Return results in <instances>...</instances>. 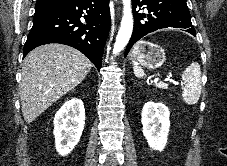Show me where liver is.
<instances>
[{
    "mask_svg": "<svg viewBox=\"0 0 227 166\" xmlns=\"http://www.w3.org/2000/svg\"><path fill=\"white\" fill-rule=\"evenodd\" d=\"M92 67L85 55L67 45L53 43L32 50L24 60L20 83L25 121L31 123L75 88Z\"/></svg>",
    "mask_w": 227,
    "mask_h": 166,
    "instance_id": "1",
    "label": "liver"
}]
</instances>
